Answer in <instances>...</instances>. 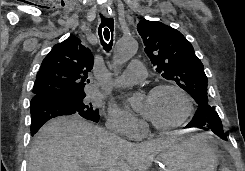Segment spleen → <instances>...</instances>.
Here are the masks:
<instances>
[{
    "label": "spleen",
    "instance_id": "obj_1",
    "mask_svg": "<svg viewBox=\"0 0 245 171\" xmlns=\"http://www.w3.org/2000/svg\"><path fill=\"white\" fill-rule=\"evenodd\" d=\"M222 171H229V169L226 168V167H223V168H222Z\"/></svg>",
    "mask_w": 245,
    "mask_h": 171
}]
</instances>
